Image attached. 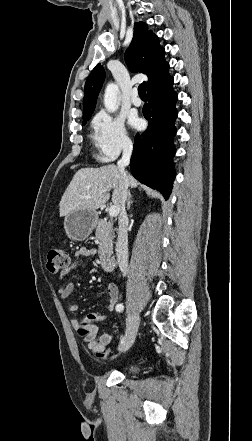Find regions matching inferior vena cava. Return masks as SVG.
Wrapping results in <instances>:
<instances>
[{
    "mask_svg": "<svg viewBox=\"0 0 252 441\" xmlns=\"http://www.w3.org/2000/svg\"><path fill=\"white\" fill-rule=\"evenodd\" d=\"M132 150H133L132 145L125 146L123 148L122 158L117 163L118 169L123 176V182H122L120 215L118 220L116 256L120 270L123 273V276L126 275L128 270V234H127L128 216L125 210V202L129 195V191H128L129 181L127 174L125 172V167L130 162Z\"/></svg>",
    "mask_w": 252,
    "mask_h": 441,
    "instance_id": "inferior-vena-cava-1",
    "label": "inferior vena cava"
}]
</instances>
